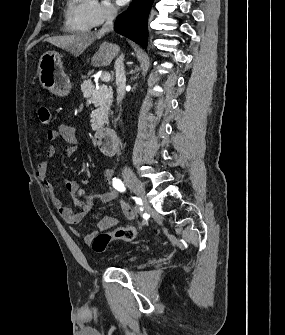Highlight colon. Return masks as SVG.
<instances>
[{"label": "colon", "instance_id": "colon-1", "mask_svg": "<svg viewBox=\"0 0 285 335\" xmlns=\"http://www.w3.org/2000/svg\"><path fill=\"white\" fill-rule=\"evenodd\" d=\"M38 119L44 126H48L51 123V112L45 105H40L37 108ZM138 235V231L133 227H124L117 229L113 232H101L96 234L92 241L91 247L95 252L101 253L107 250V248L116 241L130 242L134 240Z\"/></svg>", "mask_w": 285, "mask_h": 335}]
</instances>
